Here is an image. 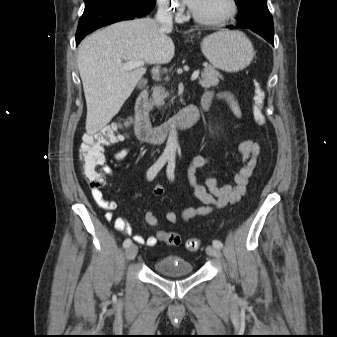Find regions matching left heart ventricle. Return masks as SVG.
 Segmentation results:
<instances>
[{
    "label": "left heart ventricle",
    "instance_id": "b2bd125f",
    "mask_svg": "<svg viewBox=\"0 0 337 337\" xmlns=\"http://www.w3.org/2000/svg\"><path fill=\"white\" fill-rule=\"evenodd\" d=\"M193 10L201 16L219 18L228 10L227 0H199Z\"/></svg>",
    "mask_w": 337,
    "mask_h": 337
}]
</instances>
